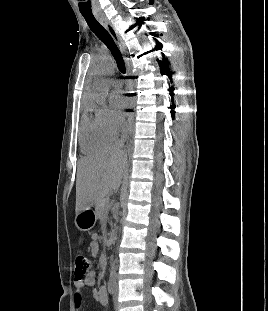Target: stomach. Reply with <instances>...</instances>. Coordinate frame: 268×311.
Wrapping results in <instances>:
<instances>
[{
	"mask_svg": "<svg viewBox=\"0 0 268 311\" xmlns=\"http://www.w3.org/2000/svg\"><path fill=\"white\" fill-rule=\"evenodd\" d=\"M96 219L95 212L88 206L76 214L74 222L80 231H89L94 227Z\"/></svg>",
	"mask_w": 268,
	"mask_h": 311,
	"instance_id": "0dacf381",
	"label": "stomach"
}]
</instances>
